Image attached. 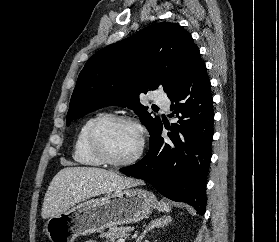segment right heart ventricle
<instances>
[{
	"label": "right heart ventricle",
	"mask_w": 279,
	"mask_h": 242,
	"mask_svg": "<svg viewBox=\"0 0 279 242\" xmlns=\"http://www.w3.org/2000/svg\"><path fill=\"white\" fill-rule=\"evenodd\" d=\"M100 115L88 118L80 127L73 146V159L81 166L98 167L103 162L94 154L89 145V131Z\"/></svg>",
	"instance_id": "obj_1"
}]
</instances>
